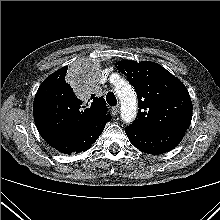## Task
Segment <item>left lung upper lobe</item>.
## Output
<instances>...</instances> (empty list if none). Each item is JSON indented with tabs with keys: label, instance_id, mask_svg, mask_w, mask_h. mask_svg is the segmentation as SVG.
Segmentation results:
<instances>
[{
	"label": "left lung upper lobe",
	"instance_id": "5c2ea615",
	"mask_svg": "<svg viewBox=\"0 0 220 220\" xmlns=\"http://www.w3.org/2000/svg\"><path fill=\"white\" fill-rule=\"evenodd\" d=\"M138 98V115L132 125L157 130L186 131L191 123L192 102L184 84L161 65L143 61H119Z\"/></svg>",
	"mask_w": 220,
	"mask_h": 220
}]
</instances>
